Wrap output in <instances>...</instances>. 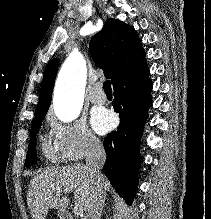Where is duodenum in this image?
I'll return each mask as SVG.
<instances>
[{"mask_svg":"<svg viewBox=\"0 0 211 219\" xmlns=\"http://www.w3.org/2000/svg\"><path fill=\"white\" fill-rule=\"evenodd\" d=\"M60 217L61 219H74L70 212L65 209L60 210Z\"/></svg>","mask_w":211,"mask_h":219,"instance_id":"obj_1","label":"duodenum"}]
</instances>
